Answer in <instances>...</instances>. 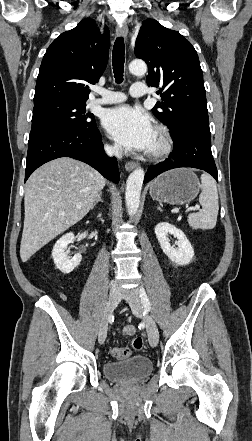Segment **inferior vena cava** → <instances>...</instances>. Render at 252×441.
I'll return each mask as SVG.
<instances>
[{
	"instance_id": "602c4592",
	"label": "inferior vena cava",
	"mask_w": 252,
	"mask_h": 441,
	"mask_svg": "<svg viewBox=\"0 0 252 441\" xmlns=\"http://www.w3.org/2000/svg\"><path fill=\"white\" fill-rule=\"evenodd\" d=\"M105 152L107 153V155L115 156V157H117L119 159L122 157V151L119 148H117V147L106 146L105 147ZM110 287H111V291L112 292H118V293L121 292V288L114 281H111Z\"/></svg>"
}]
</instances>
